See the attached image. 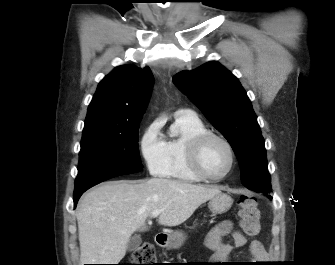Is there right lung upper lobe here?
I'll use <instances>...</instances> for the list:
<instances>
[{
  "label": "right lung upper lobe",
  "instance_id": "right-lung-upper-lobe-1",
  "mask_svg": "<svg viewBox=\"0 0 335 265\" xmlns=\"http://www.w3.org/2000/svg\"><path fill=\"white\" fill-rule=\"evenodd\" d=\"M153 82L148 67H116L98 85L88 107L83 134L92 131L118 132L140 122Z\"/></svg>",
  "mask_w": 335,
  "mask_h": 265
}]
</instances>
